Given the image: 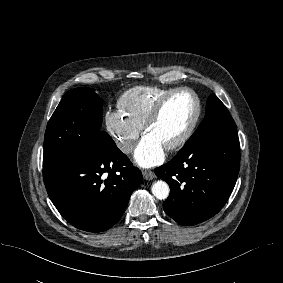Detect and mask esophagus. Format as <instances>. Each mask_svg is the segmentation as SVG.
Segmentation results:
<instances>
[{"mask_svg":"<svg viewBox=\"0 0 283 283\" xmlns=\"http://www.w3.org/2000/svg\"><path fill=\"white\" fill-rule=\"evenodd\" d=\"M143 177L146 180H152L153 178H155V174H154V172H152L150 170H144L143 171Z\"/></svg>","mask_w":283,"mask_h":283,"instance_id":"esophagus-1","label":"esophagus"}]
</instances>
